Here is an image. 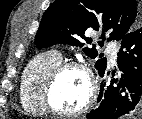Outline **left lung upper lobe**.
Wrapping results in <instances>:
<instances>
[{
	"label": "left lung upper lobe",
	"instance_id": "left-lung-upper-lobe-1",
	"mask_svg": "<svg viewBox=\"0 0 142 119\" xmlns=\"http://www.w3.org/2000/svg\"><path fill=\"white\" fill-rule=\"evenodd\" d=\"M142 23L141 7L137 0H56L43 14L35 36L37 47H47L56 43L82 47L79 41L85 37V31L92 27L103 28L110 33V40H121L125 34ZM101 38L105 40L104 32ZM99 44H103L102 41ZM86 55L95 59L98 56L95 45L83 49ZM95 63L98 73L106 69L107 61L99 56Z\"/></svg>",
	"mask_w": 142,
	"mask_h": 119
}]
</instances>
